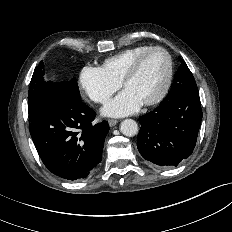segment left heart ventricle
I'll return each instance as SVG.
<instances>
[{"instance_id": "b2bd125f", "label": "left heart ventricle", "mask_w": 232, "mask_h": 232, "mask_svg": "<svg viewBox=\"0 0 232 232\" xmlns=\"http://www.w3.org/2000/svg\"><path fill=\"white\" fill-rule=\"evenodd\" d=\"M168 72V60L163 52L155 51L145 57L137 74L126 84L142 103L153 99L162 89Z\"/></svg>"}]
</instances>
